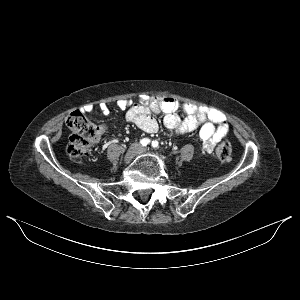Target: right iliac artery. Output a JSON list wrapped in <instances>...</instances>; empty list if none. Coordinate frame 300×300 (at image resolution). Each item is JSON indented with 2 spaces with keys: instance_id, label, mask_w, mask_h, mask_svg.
Returning <instances> with one entry per match:
<instances>
[{
  "instance_id": "1",
  "label": "right iliac artery",
  "mask_w": 300,
  "mask_h": 300,
  "mask_svg": "<svg viewBox=\"0 0 300 300\" xmlns=\"http://www.w3.org/2000/svg\"><path fill=\"white\" fill-rule=\"evenodd\" d=\"M150 142H151V141H150V139H148V138H143L142 140H140V144H141L142 146H147Z\"/></svg>"
}]
</instances>
